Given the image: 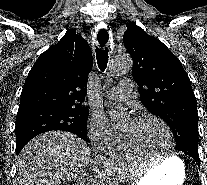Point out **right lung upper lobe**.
<instances>
[{"label":"right lung upper lobe","mask_w":207,"mask_h":185,"mask_svg":"<svg viewBox=\"0 0 207 185\" xmlns=\"http://www.w3.org/2000/svg\"><path fill=\"white\" fill-rule=\"evenodd\" d=\"M92 59L87 41L68 29L56 45L38 57L30 70L18 111L35 107L88 110L82 103Z\"/></svg>","instance_id":"cb5924a9"}]
</instances>
